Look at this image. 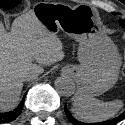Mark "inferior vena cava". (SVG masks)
<instances>
[{
	"label": "inferior vena cava",
	"instance_id": "1",
	"mask_svg": "<svg viewBox=\"0 0 125 125\" xmlns=\"http://www.w3.org/2000/svg\"><path fill=\"white\" fill-rule=\"evenodd\" d=\"M38 77V73L36 72H27L23 74L22 79L23 81H31Z\"/></svg>",
	"mask_w": 125,
	"mask_h": 125
}]
</instances>
